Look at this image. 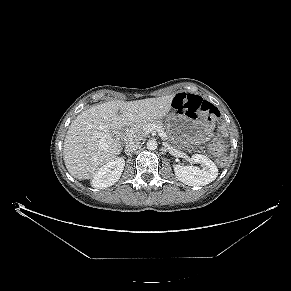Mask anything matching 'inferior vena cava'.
Returning a JSON list of instances; mask_svg holds the SVG:
<instances>
[{
  "mask_svg": "<svg viewBox=\"0 0 291 291\" xmlns=\"http://www.w3.org/2000/svg\"><path fill=\"white\" fill-rule=\"evenodd\" d=\"M140 147L139 142L137 141H130L125 146V152L127 154L135 152Z\"/></svg>",
  "mask_w": 291,
  "mask_h": 291,
  "instance_id": "1",
  "label": "inferior vena cava"
}]
</instances>
